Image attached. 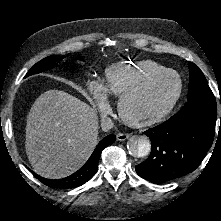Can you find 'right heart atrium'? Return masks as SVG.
Segmentation results:
<instances>
[{"instance_id": "1", "label": "right heart atrium", "mask_w": 221, "mask_h": 221, "mask_svg": "<svg viewBox=\"0 0 221 221\" xmlns=\"http://www.w3.org/2000/svg\"><path fill=\"white\" fill-rule=\"evenodd\" d=\"M89 91L98 112L102 116L110 114L111 109L108 102V92L105 86L100 82L92 81L89 84Z\"/></svg>"}]
</instances>
